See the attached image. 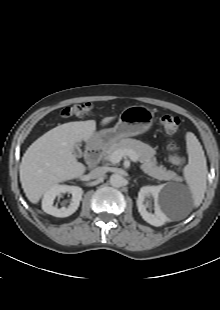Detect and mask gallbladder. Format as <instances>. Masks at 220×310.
Instances as JSON below:
<instances>
[{
	"instance_id": "gallbladder-1",
	"label": "gallbladder",
	"mask_w": 220,
	"mask_h": 310,
	"mask_svg": "<svg viewBox=\"0 0 220 310\" xmlns=\"http://www.w3.org/2000/svg\"><path fill=\"white\" fill-rule=\"evenodd\" d=\"M72 152H73V154H74L76 157H78V158H81L82 155H83V153H82V151H81V149L79 148L78 145H75V146H74Z\"/></svg>"
}]
</instances>
